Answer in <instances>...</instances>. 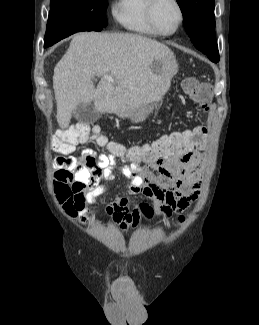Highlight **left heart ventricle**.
Here are the masks:
<instances>
[{"label": "left heart ventricle", "mask_w": 259, "mask_h": 325, "mask_svg": "<svg viewBox=\"0 0 259 325\" xmlns=\"http://www.w3.org/2000/svg\"><path fill=\"white\" fill-rule=\"evenodd\" d=\"M154 19L162 32H171L179 19L176 5L171 0H159L154 10Z\"/></svg>", "instance_id": "obj_1"}]
</instances>
